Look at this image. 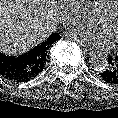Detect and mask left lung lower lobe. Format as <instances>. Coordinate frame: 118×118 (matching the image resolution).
I'll list each match as a JSON object with an SVG mask.
<instances>
[{"label":"left lung lower lobe","mask_w":118,"mask_h":118,"mask_svg":"<svg viewBox=\"0 0 118 118\" xmlns=\"http://www.w3.org/2000/svg\"><path fill=\"white\" fill-rule=\"evenodd\" d=\"M104 81L111 84H118V55L108 58V65L101 73Z\"/></svg>","instance_id":"left-lung-lower-lobe-1"}]
</instances>
